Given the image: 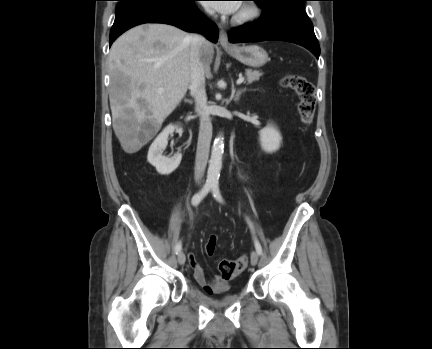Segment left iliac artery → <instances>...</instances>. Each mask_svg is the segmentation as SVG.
<instances>
[{
  "instance_id": "44dca946",
  "label": "left iliac artery",
  "mask_w": 432,
  "mask_h": 349,
  "mask_svg": "<svg viewBox=\"0 0 432 349\" xmlns=\"http://www.w3.org/2000/svg\"><path fill=\"white\" fill-rule=\"evenodd\" d=\"M212 194L217 201L223 203L224 200H223L222 195L220 193L219 183L217 181L214 182L212 185ZM247 222L249 224L251 231L254 233V228H253L252 222L248 218H247ZM254 243H255V249H256L257 253L259 255H261L262 254V247H261V245H260V243L256 237H254Z\"/></svg>"
}]
</instances>
